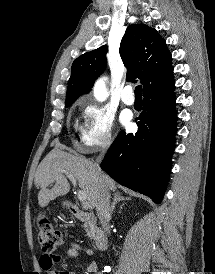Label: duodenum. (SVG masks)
<instances>
[{"label": "duodenum", "mask_w": 215, "mask_h": 274, "mask_svg": "<svg viewBox=\"0 0 215 274\" xmlns=\"http://www.w3.org/2000/svg\"><path fill=\"white\" fill-rule=\"evenodd\" d=\"M69 209L73 216L81 222L87 223L94 228V241L99 251H105L108 247L107 236L104 231L97 226L96 218L93 214L81 210L73 203H69Z\"/></svg>", "instance_id": "410a0bca"}]
</instances>
